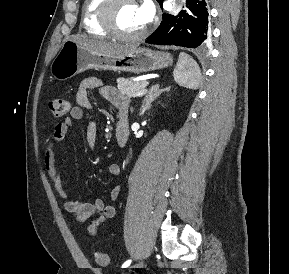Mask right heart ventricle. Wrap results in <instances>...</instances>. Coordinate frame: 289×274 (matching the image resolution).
I'll return each mask as SVG.
<instances>
[{"mask_svg": "<svg viewBox=\"0 0 289 274\" xmlns=\"http://www.w3.org/2000/svg\"><path fill=\"white\" fill-rule=\"evenodd\" d=\"M104 0H85L82 10L83 27L89 34L105 37L108 33L99 22V11Z\"/></svg>", "mask_w": 289, "mask_h": 274, "instance_id": "obj_1", "label": "right heart ventricle"}]
</instances>
